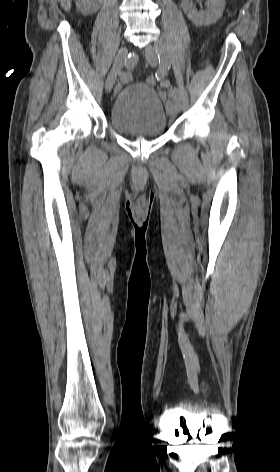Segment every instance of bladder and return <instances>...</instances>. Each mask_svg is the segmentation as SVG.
<instances>
[{"instance_id":"bladder-1","label":"bladder","mask_w":280,"mask_h":472,"mask_svg":"<svg viewBox=\"0 0 280 472\" xmlns=\"http://www.w3.org/2000/svg\"><path fill=\"white\" fill-rule=\"evenodd\" d=\"M109 123L123 134L160 136L167 130L168 118L157 92L136 82L116 95L109 112Z\"/></svg>"}]
</instances>
